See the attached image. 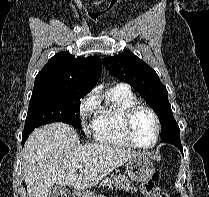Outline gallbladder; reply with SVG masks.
<instances>
[{
    "instance_id": "1",
    "label": "gallbladder",
    "mask_w": 209,
    "mask_h": 197,
    "mask_svg": "<svg viewBox=\"0 0 209 197\" xmlns=\"http://www.w3.org/2000/svg\"><path fill=\"white\" fill-rule=\"evenodd\" d=\"M61 191H62V189H61L60 186H58V185L53 186V187L50 189V191H49L47 197H58Z\"/></svg>"
}]
</instances>
